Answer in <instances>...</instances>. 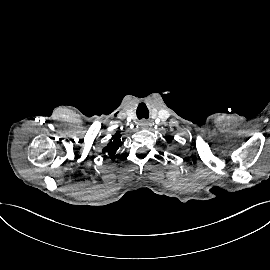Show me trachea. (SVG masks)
Here are the masks:
<instances>
[{"label":"trachea","mask_w":270,"mask_h":270,"mask_svg":"<svg viewBox=\"0 0 270 270\" xmlns=\"http://www.w3.org/2000/svg\"><path fill=\"white\" fill-rule=\"evenodd\" d=\"M137 117L139 119L145 118L148 119L149 117V112L148 109L146 108V106L144 104H140L137 108Z\"/></svg>","instance_id":"3493384b"}]
</instances>
